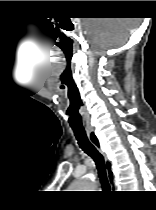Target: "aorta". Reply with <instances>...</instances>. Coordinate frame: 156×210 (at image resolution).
<instances>
[{
  "instance_id": "aorta-1",
  "label": "aorta",
  "mask_w": 156,
  "mask_h": 210,
  "mask_svg": "<svg viewBox=\"0 0 156 210\" xmlns=\"http://www.w3.org/2000/svg\"><path fill=\"white\" fill-rule=\"evenodd\" d=\"M95 178L92 174H87L84 177L80 178L76 183L73 184L74 189L78 191H85L87 189L94 188Z\"/></svg>"
}]
</instances>
